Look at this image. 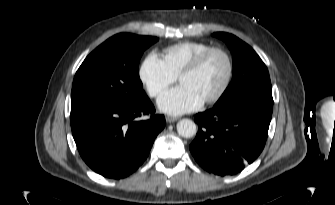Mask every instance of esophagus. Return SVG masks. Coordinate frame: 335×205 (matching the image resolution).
<instances>
[{
  "instance_id": "34e87169",
  "label": "esophagus",
  "mask_w": 335,
  "mask_h": 205,
  "mask_svg": "<svg viewBox=\"0 0 335 205\" xmlns=\"http://www.w3.org/2000/svg\"><path fill=\"white\" fill-rule=\"evenodd\" d=\"M177 120H178L177 117H172V116H167V117H166V121H167L168 123H173V122H175V121H177Z\"/></svg>"
}]
</instances>
